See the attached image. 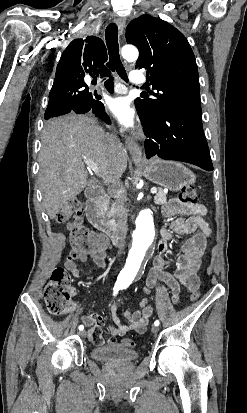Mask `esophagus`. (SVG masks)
Listing matches in <instances>:
<instances>
[{
  "label": "esophagus",
  "mask_w": 247,
  "mask_h": 413,
  "mask_svg": "<svg viewBox=\"0 0 247 413\" xmlns=\"http://www.w3.org/2000/svg\"><path fill=\"white\" fill-rule=\"evenodd\" d=\"M115 23L117 24L120 32L122 33V31L125 27V19L121 18V17L116 18ZM125 144H126V147L128 148V150L131 153L134 160H138V159L141 158L142 149L136 142H134L133 140L127 138L125 140Z\"/></svg>",
  "instance_id": "esophagus-1"
}]
</instances>
